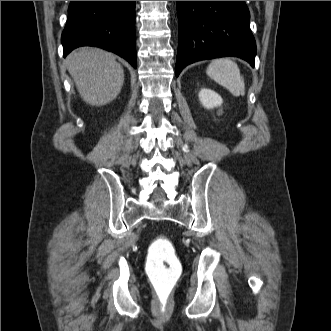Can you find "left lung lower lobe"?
Here are the masks:
<instances>
[{
  "instance_id": "left-lung-lower-lobe-1",
  "label": "left lung lower lobe",
  "mask_w": 331,
  "mask_h": 331,
  "mask_svg": "<svg viewBox=\"0 0 331 331\" xmlns=\"http://www.w3.org/2000/svg\"><path fill=\"white\" fill-rule=\"evenodd\" d=\"M177 13L176 76L193 62L224 56L242 58L254 67L256 43L245 1H177Z\"/></svg>"
}]
</instances>
